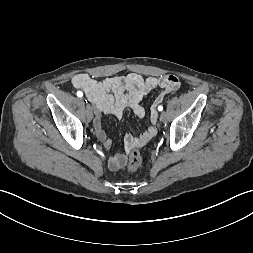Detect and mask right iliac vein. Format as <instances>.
<instances>
[{"label": "right iliac vein", "mask_w": 253, "mask_h": 253, "mask_svg": "<svg viewBox=\"0 0 253 253\" xmlns=\"http://www.w3.org/2000/svg\"><path fill=\"white\" fill-rule=\"evenodd\" d=\"M86 118L88 121H91L93 118L92 107L89 104L86 106Z\"/></svg>", "instance_id": "63e3f726"}]
</instances>
